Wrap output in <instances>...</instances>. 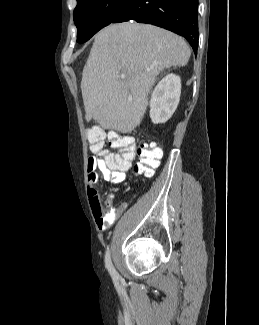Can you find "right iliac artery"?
I'll return each mask as SVG.
<instances>
[{
  "instance_id": "82829eb1",
  "label": "right iliac artery",
  "mask_w": 259,
  "mask_h": 325,
  "mask_svg": "<svg viewBox=\"0 0 259 325\" xmlns=\"http://www.w3.org/2000/svg\"><path fill=\"white\" fill-rule=\"evenodd\" d=\"M105 266L108 269L113 280L117 281L119 278V274L117 273V271L115 270V268L112 264L109 248L107 249L106 254H105Z\"/></svg>"
}]
</instances>
